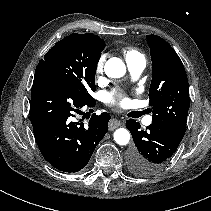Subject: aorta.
Masks as SVG:
<instances>
[{
    "label": "aorta",
    "mask_w": 211,
    "mask_h": 211,
    "mask_svg": "<svg viewBox=\"0 0 211 211\" xmlns=\"http://www.w3.org/2000/svg\"><path fill=\"white\" fill-rule=\"evenodd\" d=\"M105 73L110 78H121L126 73V66L124 62L117 58L112 57L106 63L104 67ZM114 140L119 145H126L130 140V133L125 128H119L114 132Z\"/></svg>",
    "instance_id": "obj_1"
}]
</instances>
